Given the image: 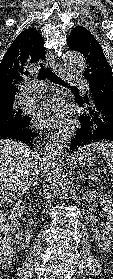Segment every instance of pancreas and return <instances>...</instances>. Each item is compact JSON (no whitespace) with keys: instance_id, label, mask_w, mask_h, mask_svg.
<instances>
[{"instance_id":"cf45deb5","label":"pancreas","mask_w":113,"mask_h":279,"mask_svg":"<svg viewBox=\"0 0 113 279\" xmlns=\"http://www.w3.org/2000/svg\"><path fill=\"white\" fill-rule=\"evenodd\" d=\"M90 178L95 181V182H99L100 181V178L95 176V175H91Z\"/></svg>"}]
</instances>
